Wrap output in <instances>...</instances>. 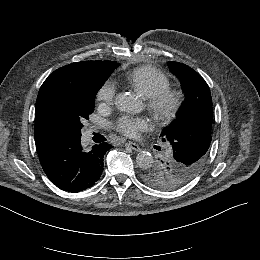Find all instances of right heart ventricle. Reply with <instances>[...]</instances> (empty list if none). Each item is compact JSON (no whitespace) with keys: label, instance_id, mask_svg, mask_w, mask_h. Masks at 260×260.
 I'll return each mask as SVG.
<instances>
[{"label":"right heart ventricle","instance_id":"obj_1","mask_svg":"<svg viewBox=\"0 0 260 260\" xmlns=\"http://www.w3.org/2000/svg\"><path fill=\"white\" fill-rule=\"evenodd\" d=\"M126 80L129 86L138 90L145 98L170 85L167 76L149 67H142L132 71Z\"/></svg>","mask_w":260,"mask_h":260}]
</instances>
